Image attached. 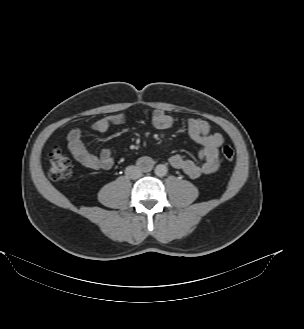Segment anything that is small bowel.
<instances>
[{
  "mask_svg": "<svg viewBox=\"0 0 304 329\" xmlns=\"http://www.w3.org/2000/svg\"><path fill=\"white\" fill-rule=\"evenodd\" d=\"M127 118L123 114L102 117L95 120L90 128L93 131L103 133L113 125L126 123ZM151 121L158 129H169L175 124V120L167 113L156 110ZM189 137L200 146L199 161L195 162L175 154L170 157L173 168L184 172L188 177L197 179L215 172L219 167V148L224 143V137L219 133H210L207 121L200 118H190L187 121ZM69 150L72 156L89 170H106L112 167L114 156L111 149H103L99 155H94L87 149L81 138V131L74 128L68 135Z\"/></svg>",
  "mask_w": 304,
  "mask_h": 329,
  "instance_id": "c3829d8e",
  "label": "small bowel"
}]
</instances>
